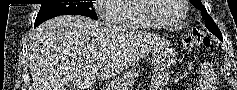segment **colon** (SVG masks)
Here are the masks:
<instances>
[{
  "instance_id": "obj_1",
  "label": "colon",
  "mask_w": 237,
  "mask_h": 90,
  "mask_svg": "<svg viewBox=\"0 0 237 90\" xmlns=\"http://www.w3.org/2000/svg\"><path fill=\"white\" fill-rule=\"evenodd\" d=\"M211 39L201 31H194L184 39V45L187 49H193L196 46H210Z\"/></svg>"
}]
</instances>
